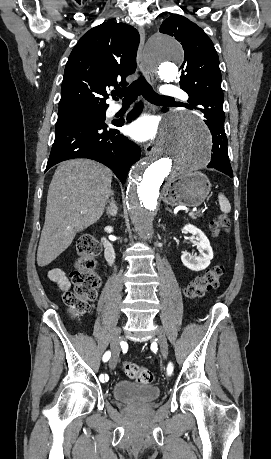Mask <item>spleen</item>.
Returning <instances> with one entry per match:
<instances>
[{
  "mask_svg": "<svg viewBox=\"0 0 271 459\" xmlns=\"http://www.w3.org/2000/svg\"><path fill=\"white\" fill-rule=\"evenodd\" d=\"M218 200H219L221 212H224V214H229V212H231V206L229 204V200L225 198L224 194H219Z\"/></svg>",
  "mask_w": 271,
  "mask_h": 459,
  "instance_id": "3e777b00",
  "label": "spleen"
}]
</instances>
